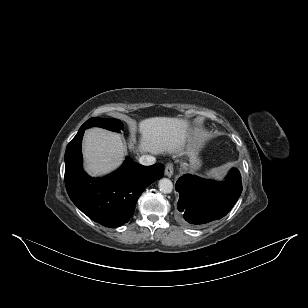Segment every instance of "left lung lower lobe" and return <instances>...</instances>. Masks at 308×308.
<instances>
[{
	"mask_svg": "<svg viewBox=\"0 0 308 308\" xmlns=\"http://www.w3.org/2000/svg\"><path fill=\"white\" fill-rule=\"evenodd\" d=\"M176 190L182 221L202 225L221 219L232 209L242 192L241 175L233 168L226 180L218 183L186 174L176 182Z\"/></svg>",
	"mask_w": 308,
	"mask_h": 308,
	"instance_id": "obj_1",
	"label": "left lung lower lobe"
}]
</instances>
